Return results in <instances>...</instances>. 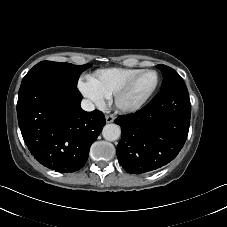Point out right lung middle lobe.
Returning a JSON list of instances; mask_svg holds the SVG:
<instances>
[{
  "label": "right lung middle lobe",
  "mask_w": 227,
  "mask_h": 227,
  "mask_svg": "<svg viewBox=\"0 0 227 227\" xmlns=\"http://www.w3.org/2000/svg\"><path fill=\"white\" fill-rule=\"evenodd\" d=\"M91 66V64L79 66L70 63L41 61L26 74L21 84H25L36 77L44 76L61 80L72 86H77L80 74Z\"/></svg>",
  "instance_id": "obj_1"
}]
</instances>
